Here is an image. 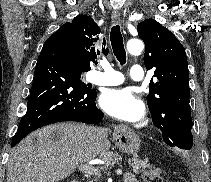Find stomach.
I'll return each instance as SVG.
<instances>
[{"label": "stomach", "mask_w": 211, "mask_h": 182, "mask_svg": "<svg viewBox=\"0 0 211 182\" xmlns=\"http://www.w3.org/2000/svg\"><path fill=\"white\" fill-rule=\"evenodd\" d=\"M115 145L125 153L134 154L139 151L140 139L131 131L120 130L113 135Z\"/></svg>", "instance_id": "obj_1"}]
</instances>
